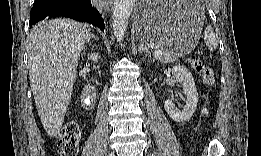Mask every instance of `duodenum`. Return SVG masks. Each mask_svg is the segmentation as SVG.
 I'll use <instances>...</instances> for the list:
<instances>
[{
	"mask_svg": "<svg viewBox=\"0 0 261 156\" xmlns=\"http://www.w3.org/2000/svg\"><path fill=\"white\" fill-rule=\"evenodd\" d=\"M83 100H91L92 98V91L90 88H87L82 93ZM92 106L91 104L87 106V109H90Z\"/></svg>",
	"mask_w": 261,
	"mask_h": 156,
	"instance_id": "1",
	"label": "duodenum"
}]
</instances>
